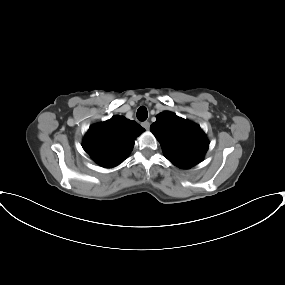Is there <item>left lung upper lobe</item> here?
Returning <instances> with one entry per match:
<instances>
[{"mask_svg": "<svg viewBox=\"0 0 285 285\" xmlns=\"http://www.w3.org/2000/svg\"><path fill=\"white\" fill-rule=\"evenodd\" d=\"M150 131L159 140L165 157L182 169L202 161L209 142L199 125L165 111L156 116Z\"/></svg>", "mask_w": 285, "mask_h": 285, "instance_id": "left-lung-upper-lobe-1", "label": "left lung upper lobe"}]
</instances>
